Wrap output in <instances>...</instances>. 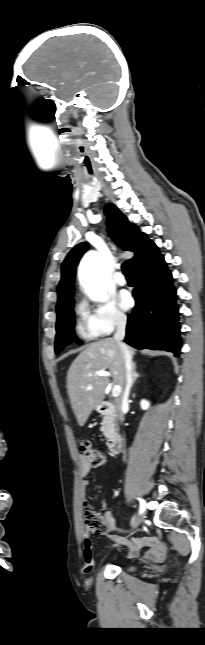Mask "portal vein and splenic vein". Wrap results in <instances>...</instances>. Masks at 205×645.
<instances>
[{
  "label": "portal vein and splenic vein",
  "mask_w": 205,
  "mask_h": 645,
  "mask_svg": "<svg viewBox=\"0 0 205 645\" xmlns=\"http://www.w3.org/2000/svg\"><path fill=\"white\" fill-rule=\"evenodd\" d=\"M97 376H99V377H102V376L109 377V376H111V373L108 372V371H99L97 373ZM91 388H92L91 386L88 387V389H91ZM121 391H122V388L119 385H115L113 387V389H112V396L113 397H118L121 394Z\"/></svg>",
  "instance_id": "18ae733b"
}]
</instances>
